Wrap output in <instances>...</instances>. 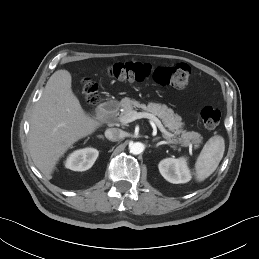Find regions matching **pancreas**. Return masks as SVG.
I'll return each mask as SVG.
<instances>
[{
  "mask_svg": "<svg viewBox=\"0 0 259 259\" xmlns=\"http://www.w3.org/2000/svg\"><path fill=\"white\" fill-rule=\"evenodd\" d=\"M118 106L123 109L120 116L133 111L134 108H141L144 111L160 118L165 127L174 132L172 136L165 135V138L171 143L180 144L183 147L194 146V148H198L202 143V136L199 133L181 129L183 126L181 117L178 114H175L174 111L166 105L153 102L145 105L141 104L139 101L125 97L118 103ZM112 114L114 116L118 115L117 112H113Z\"/></svg>",
  "mask_w": 259,
  "mask_h": 259,
  "instance_id": "pancreas-1",
  "label": "pancreas"
}]
</instances>
